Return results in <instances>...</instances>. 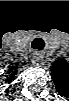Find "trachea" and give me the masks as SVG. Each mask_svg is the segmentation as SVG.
Listing matches in <instances>:
<instances>
[{"label": "trachea", "mask_w": 69, "mask_h": 101, "mask_svg": "<svg viewBox=\"0 0 69 101\" xmlns=\"http://www.w3.org/2000/svg\"><path fill=\"white\" fill-rule=\"evenodd\" d=\"M32 48L35 50H42L44 48V41L41 38H36L32 42Z\"/></svg>", "instance_id": "3493384b"}]
</instances>
